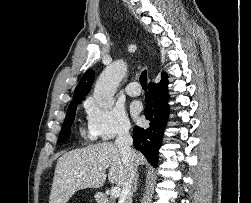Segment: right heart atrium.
I'll list each match as a JSON object with an SVG mask.
<instances>
[{"label": "right heart atrium", "mask_w": 251, "mask_h": 203, "mask_svg": "<svg viewBox=\"0 0 251 203\" xmlns=\"http://www.w3.org/2000/svg\"><path fill=\"white\" fill-rule=\"evenodd\" d=\"M88 129L93 137L109 141L129 132L131 125L125 112L120 107L104 108L94 99L86 103Z\"/></svg>", "instance_id": "right-heart-atrium-1"}]
</instances>
